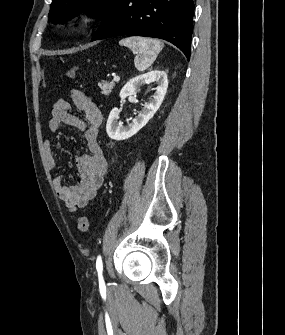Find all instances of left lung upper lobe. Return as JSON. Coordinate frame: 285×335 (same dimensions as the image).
<instances>
[{
    "label": "left lung upper lobe",
    "mask_w": 285,
    "mask_h": 335,
    "mask_svg": "<svg viewBox=\"0 0 285 335\" xmlns=\"http://www.w3.org/2000/svg\"><path fill=\"white\" fill-rule=\"evenodd\" d=\"M117 0H53L50 5L49 21L64 23L88 7L102 20Z\"/></svg>",
    "instance_id": "obj_1"
}]
</instances>
